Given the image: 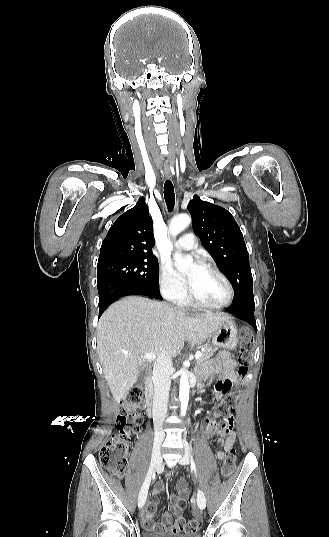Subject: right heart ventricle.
I'll return each mask as SVG.
<instances>
[{
	"mask_svg": "<svg viewBox=\"0 0 329 537\" xmlns=\"http://www.w3.org/2000/svg\"><path fill=\"white\" fill-rule=\"evenodd\" d=\"M179 303H180V304H182V305H186V304H187V300H186V299H184V300H182V301H181V302H179Z\"/></svg>",
	"mask_w": 329,
	"mask_h": 537,
	"instance_id": "right-heart-ventricle-1",
	"label": "right heart ventricle"
}]
</instances>
